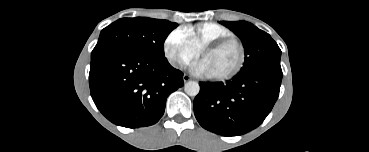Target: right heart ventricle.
Here are the masks:
<instances>
[{"label":"right heart ventricle","mask_w":369,"mask_h":152,"mask_svg":"<svg viewBox=\"0 0 369 152\" xmlns=\"http://www.w3.org/2000/svg\"><path fill=\"white\" fill-rule=\"evenodd\" d=\"M191 46L199 53L200 49L207 43L232 36L226 27L215 22H201L182 28Z\"/></svg>","instance_id":"1"}]
</instances>
